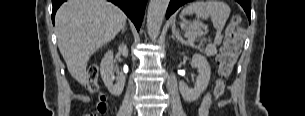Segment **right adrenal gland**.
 Here are the masks:
<instances>
[{
    "mask_svg": "<svg viewBox=\"0 0 305 116\" xmlns=\"http://www.w3.org/2000/svg\"><path fill=\"white\" fill-rule=\"evenodd\" d=\"M127 30V27H124L121 31V33H124Z\"/></svg>",
    "mask_w": 305,
    "mask_h": 116,
    "instance_id": "2a0ac1e0",
    "label": "right adrenal gland"
}]
</instances>
